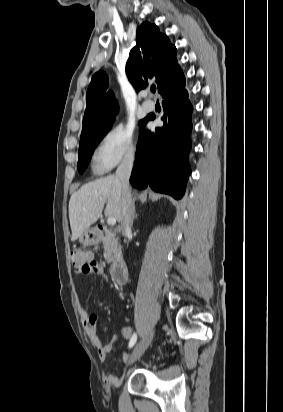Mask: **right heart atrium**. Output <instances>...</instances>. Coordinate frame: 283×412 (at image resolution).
I'll return each mask as SVG.
<instances>
[{
  "label": "right heart atrium",
  "mask_w": 283,
  "mask_h": 412,
  "mask_svg": "<svg viewBox=\"0 0 283 412\" xmlns=\"http://www.w3.org/2000/svg\"><path fill=\"white\" fill-rule=\"evenodd\" d=\"M137 150L133 128L116 125L101 138L95 154L96 167L99 171H108L119 162L132 157Z\"/></svg>",
  "instance_id": "obj_1"
}]
</instances>
